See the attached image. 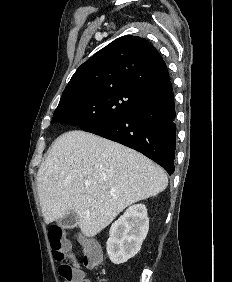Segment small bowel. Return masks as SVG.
I'll list each match as a JSON object with an SVG mask.
<instances>
[{
  "label": "small bowel",
  "instance_id": "1",
  "mask_svg": "<svg viewBox=\"0 0 232 282\" xmlns=\"http://www.w3.org/2000/svg\"><path fill=\"white\" fill-rule=\"evenodd\" d=\"M81 270V269H80ZM80 274H81V277H82V281H80V282H91L89 279H87L86 277H85V274H84V272L81 270V272H80Z\"/></svg>",
  "mask_w": 232,
  "mask_h": 282
}]
</instances>
